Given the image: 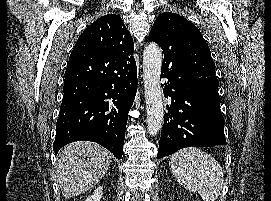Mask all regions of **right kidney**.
Returning a JSON list of instances; mask_svg holds the SVG:
<instances>
[{
    "instance_id": "right-kidney-1",
    "label": "right kidney",
    "mask_w": 271,
    "mask_h": 201,
    "mask_svg": "<svg viewBox=\"0 0 271 201\" xmlns=\"http://www.w3.org/2000/svg\"><path fill=\"white\" fill-rule=\"evenodd\" d=\"M102 191L103 187L99 186L89 197L86 198L85 201H100L102 198Z\"/></svg>"
}]
</instances>
